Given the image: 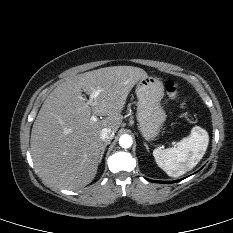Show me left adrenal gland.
<instances>
[{
    "instance_id": "obj_1",
    "label": "left adrenal gland",
    "mask_w": 233,
    "mask_h": 233,
    "mask_svg": "<svg viewBox=\"0 0 233 233\" xmlns=\"http://www.w3.org/2000/svg\"><path fill=\"white\" fill-rule=\"evenodd\" d=\"M145 146H146V149L148 150V146H147V144H144Z\"/></svg>"
}]
</instances>
